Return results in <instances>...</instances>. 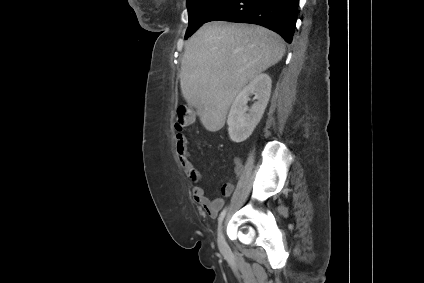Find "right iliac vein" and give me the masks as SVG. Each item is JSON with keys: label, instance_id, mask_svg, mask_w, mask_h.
<instances>
[{"label": "right iliac vein", "instance_id": "obj_1", "mask_svg": "<svg viewBox=\"0 0 424 283\" xmlns=\"http://www.w3.org/2000/svg\"><path fill=\"white\" fill-rule=\"evenodd\" d=\"M218 247L222 253L228 252V245L223 235L222 226L218 229Z\"/></svg>", "mask_w": 424, "mask_h": 283}]
</instances>
